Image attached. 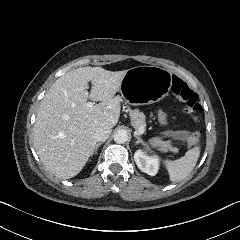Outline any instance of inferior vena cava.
Returning <instances> with one entry per match:
<instances>
[{"mask_svg":"<svg viewBox=\"0 0 240 240\" xmlns=\"http://www.w3.org/2000/svg\"><path fill=\"white\" fill-rule=\"evenodd\" d=\"M111 132H112V129L111 127H108V126L97 128L94 134L95 143L104 142L109 137Z\"/></svg>","mask_w":240,"mask_h":240,"instance_id":"inferior-vena-cava-1","label":"inferior vena cava"}]
</instances>
